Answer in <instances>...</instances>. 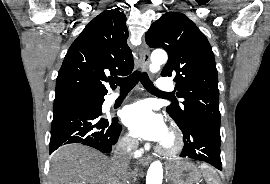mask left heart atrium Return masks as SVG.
Wrapping results in <instances>:
<instances>
[{
  "label": "left heart atrium",
  "mask_w": 270,
  "mask_h": 184,
  "mask_svg": "<svg viewBox=\"0 0 270 184\" xmlns=\"http://www.w3.org/2000/svg\"><path fill=\"white\" fill-rule=\"evenodd\" d=\"M122 119L134 137L161 143L167 137V127L162 117L155 113L147 101L126 107Z\"/></svg>",
  "instance_id": "obj_1"
}]
</instances>
